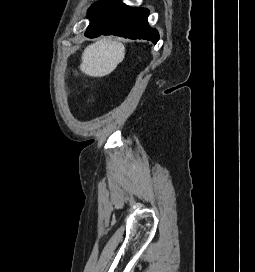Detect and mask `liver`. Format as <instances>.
Returning a JSON list of instances; mask_svg holds the SVG:
<instances>
[{"label": "liver", "instance_id": "6515ba94", "mask_svg": "<svg viewBox=\"0 0 255 272\" xmlns=\"http://www.w3.org/2000/svg\"><path fill=\"white\" fill-rule=\"evenodd\" d=\"M124 57L125 47L122 42L102 38L85 48L80 70L90 77H103L113 72Z\"/></svg>", "mask_w": 255, "mask_h": 272}]
</instances>
